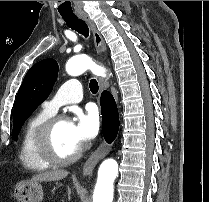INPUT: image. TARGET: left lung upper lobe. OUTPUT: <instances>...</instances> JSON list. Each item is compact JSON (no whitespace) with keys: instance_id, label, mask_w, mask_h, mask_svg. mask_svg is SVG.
Returning <instances> with one entry per match:
<instances>
[{"instance_id":"obj_1","label":"left lung upper lobe","mask_w":209,"mask_h":202,"mask_svg":"<svg viewBox=\"0 0 209 202\" xmlns=\"http://www.w3.org/2000/svg\"><path fill=\"white\" fill-rule=\"evenodd\" d=\"M58 76V63L44 59L31 67L19 88L13 113V139L33 111L47 99Z\"/></svg>"}]
</instances>
